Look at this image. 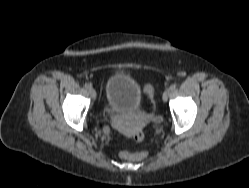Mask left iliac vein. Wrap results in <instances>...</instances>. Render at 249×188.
<instances>
[{"label": "left iliac vein", "mask_w": 249, "mask_h": 188, "mask_svg": "<svg viewBox=\"0 0 249 188\" xmlns=\"http://www.w3.org/2000/svg\"><path fill=\"white\" fill-rule=\"evenodd\" d=\"M170 91H171V90H170L169 88H166V89L164 90V93H163V96H162L164 102H167L168 97H169V94H170Z\"/></svg>", "instance_id": "left-iliac-vein-1"}]
</instances>
